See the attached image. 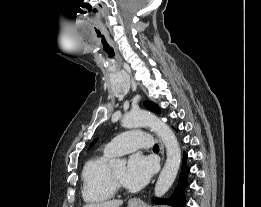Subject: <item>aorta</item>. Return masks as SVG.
Returning <instances> with one entry per match:
<instances>
[{"instance_id": "762f6f07", "label": "aorta", "mask_w": 261, "mask_h": 207, "mask_svg": "<svg viewBox=\"0 0 261 207\" xmlns=\"http://www.w3.org/2000/svg\"><path fill=\"white\" fill-rule=\"evenodd\" d=\"M124 128L150 127L162 140L166 148V162L154 188L157 197L163 196L172 186L181 163V149L174 132L157 116L145 110L129 112L122 118ZM113 165L124 164L122 160H112Z\"/></svg>"}]
</instances>
